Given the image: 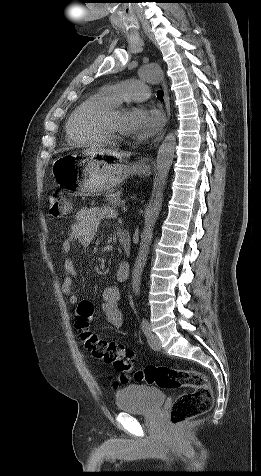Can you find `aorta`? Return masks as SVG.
<instances>
[{"instance_id": "obj_1", "label": "aorta", "mask_w": 261, "mask_h": 476, "mask_svg": "<svg viewBox=\"0 0 261 476\" xmlns=\"http://www.w3.org/2000/svg\"><path fill=\"white\" fill-rule=\"evenodd\" d=\"M140 76L143 80L152 84L160 83L164 79L162 70L155 65H147L143 67L140 70ZM175 148L176 132H170L165 136L163 142L159 146L157 153V194L154 203L145 218L144 229L141 234L140 248L132 270L131 284L135 294L139 293L141 275L147 261L149 246L153 237V229L161 210L163 191L166 185V178L173 162Z\"/></svg>"}]
</instances>
